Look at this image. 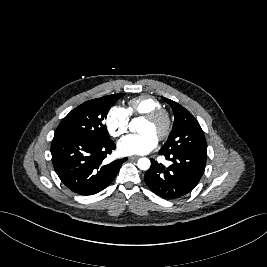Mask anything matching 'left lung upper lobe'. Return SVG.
<instances>
[{
	"label": "left lung upper lobe",
	"instance_id": "left-lung-upper-lobe-1",
	"mask_svg": "<svg viewBox=\"0 0 267 267\" xmlns=\"http://www.w3.org/2000/svg\"><path fill=\"white\" fill-rule=\"evenodd\" d=\"M162 99L171 106L175 119L172 131L159 152H188L207 156L206 139L198 121L180 104L164 97Z\"/></svg>",
	"mask_w": 267,
	"mask_h": 267
}]
</instances>
